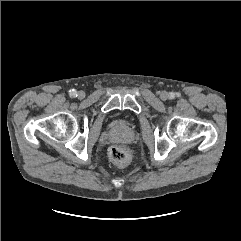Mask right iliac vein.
<instances>
[{
	"mask_svg": "<svg viewBox=\"0 0 241 241\" xmlns=\"http://www.w3.org/2000/svg\"><path fill=\"white\" fill-rule=\"evenodd\" d=\"M77 96L79 99H83L85 97V93L83 91H79Z\"/></svg>",
	"mask_w": 241,
	"mask_h": 241,
	"instance_id": "right-iliac-vein-1",
	"label": "right iliac vein"
}]
</instances>
